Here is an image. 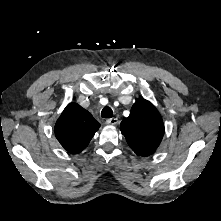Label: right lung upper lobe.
I'll return each mask as SVG.
<instances>
[{"instance_id": "right-lung-upper-lobe-1", "label": "right lung upper lobe", "mask_w": 221, "mask_h": 221, "mask_svg": "<svg viewBox=\"0 0 221 221\" xmlns=\"http://www.w3.org/2000/svg\"><path fill=\"white\" fill-rule=\"evenodd\" d=\"M99 127L87 110L72 102L57 120L55 135L64 149L77 154L87 147Z\"/></svg>"}]
</instances>
